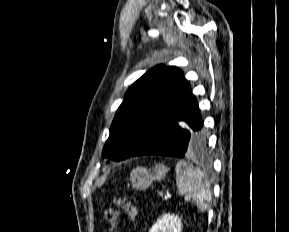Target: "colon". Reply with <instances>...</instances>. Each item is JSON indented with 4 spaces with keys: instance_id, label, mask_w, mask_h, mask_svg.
<instances>
[{
    "instance_id": "1",
    "label": "colon",
    "mask_w": 289,
    "mask_h": 232,
    "mask_svg": "<svg viewBox=\"0 0 289 232\" xmlns=\"http://www.w3.org/2000/svg\"><path fill=\"white\" fill-rule=\"evenodd\" d=\"M123 209L128 217L134 221L136 218V209L134 205L124 198H112L106 202L104 217L110 226V231L115 232L118 224V209Z\"/></svg>"
}]
</instances>
